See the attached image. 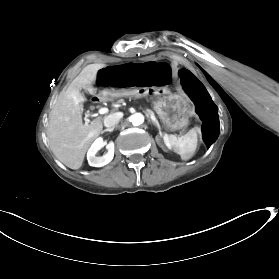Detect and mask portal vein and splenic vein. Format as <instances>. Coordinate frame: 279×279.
I'll use <instances>...</instances> for the list:
<instances>
[{
	"label": "portal vein and splenic vein",
	"instance_id": "1",
	"mask_svg": "<svg viewBox=\"0 0 279 279\" xmlns=\"http://www.w3.org/2000/svg\"><path fill=\"white\" fill-rule=\"evenodd\" d=\"M105 113H108V108L103 107L99 109V114H105Z\"/></svg>",
	"mask_w": 279,
	"mask_h": 279
}]
</instances>
